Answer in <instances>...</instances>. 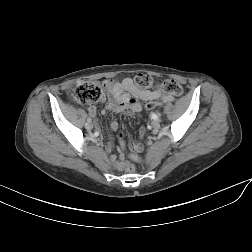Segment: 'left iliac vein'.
Masks as SVG:
<instances>
[{
    "label": "left iliac vein",
    "mask_w": 252,
    "mask_h": 252,
    "mask_svg": "<svg viewBox=\"0 0 252 252\" xmlns=\"http://www.w3.org/2000/svg\"><path fill=\"white\" fill-rule=\"evenodd\" d=\"M151 126L154 130H158L160 128V123L158 121H152Z\"/></svg>",
    "instance_id": "obj_1"
}]
</instances>
